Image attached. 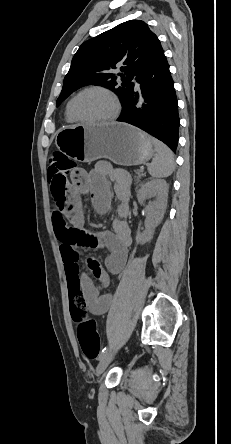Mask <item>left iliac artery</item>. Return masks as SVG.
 Segmentation results:
<instances>
[{
  "label": "left iliac artery",
  "instance_id": "left-iliac-artery-1",
  "mask_svg": "<svg viewBox=\"0 0 231 444\" xmlns=\"http://www.w3.org/2000/svg\"><path fill=\"white\" fill-rule=\"evenodd\" d=\"M108 351V347H104L98 357V359L100 360Z\"/></svg>",
  "mask_w": 231,
  "mask_h": 444
}]
</instances>
